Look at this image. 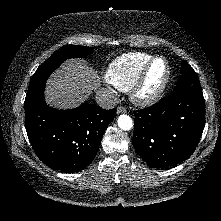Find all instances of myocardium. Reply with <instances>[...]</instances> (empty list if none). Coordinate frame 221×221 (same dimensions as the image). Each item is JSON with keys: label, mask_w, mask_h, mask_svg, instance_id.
Segmentation results:
<instances>
[{"label": "myocardium", "mask_w": 221, "mask_h": 221, "mask_svg": "<svg viewBox=\"0 0 221 221\" xmlns=\"http://www.w3.org/2000/svg\"><path fill=\"white\" fill-rule=\"evenodd\" d=\"M157 60H163L166 65V73L159 86L152 92H145L144 87L149 71ZM171 77V67L169 61L163 56H153L142 68L136 80L130 88L131 100L140 106H150L157 102L164 94Z\"/></svg>", "instance_id": "1"}]
</instances>
